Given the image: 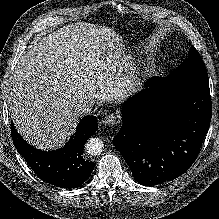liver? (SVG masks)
<instances>
[{
  "label": "liver",
  "instance_id": "obj_1",
  "mask_svg": "<svg viewBox=\"0 0 219 219\" xmlns=\"http://www.w3.org/2000/svg\"><path fill=\"white\" fill-rule=\"evenodd\" d=\"M121 38L108 27L77 22L35 41L17 61L7 100L17 131L42 150L61 147L76 130L80 101L120 102Z\"/></svg>",
  "mask_w": 219,
  "mask_h": 219
}]
</instances>
